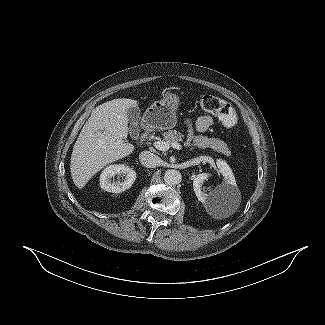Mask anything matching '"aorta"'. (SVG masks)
<instances>
[{"instance_id": "aorta-1", "label": "aorta", "mask_w": 325, "mask_h": 325, "mask_svg": "<svg viewBox=\"0 0 325 325\" xmlns=\"http://www.w3.org/2000/svg\"><path fill=\"white\" fill-rule=\"evenodd\" d=\"M181 180L182 175L178 170L169 169L164 173V181L169 185H177Z\"/></svg>"}]
</instances>
